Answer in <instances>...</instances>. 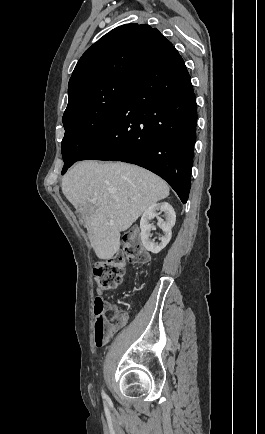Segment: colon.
Masks as SVG:
<instances>
[{"label":"colon","mask_w":265,"mask_h":434,"mask_svg":"<svg viewBox=\"0 0 265 434\" xmlns=\"http://www.w3.org/2000/svg\"><path fill=\"white\" fill-rule=\"evenodd\" d=\"M131 250L130 260L135 263H140L146 260V256L140 251L139 247L136 245V240H131ZM126 261V255L123 252L117 253L114 258L110 260H103L98 262L93 267L97 290L99 293L112 291L120 283L123 275L124 264ZM103 295H95V312H94V325L93 328L97 332L95 335L94 344L96 347H107L111 338L110 327H116L118 321L116 319V314L112 313L110 315L103 314L105 312V303L100 302L103 300Z\"/></svg>","instance_id":"obj_1"}]
</instances>
